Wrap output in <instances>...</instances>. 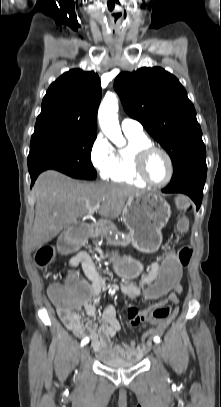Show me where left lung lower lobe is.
<instances>
[{"label": "left lung lower lobe", "instance_id": "0a47b994", "mask_svg": "<svg viewBox=\"0 0 221 407\" xmlns=\"http://www.w3.org/2000/svg\"><path fill=\"white\" fill-rule=\"evenodd\" d=\"M206 159L194 162L172 177L170 184L162 191L164 193H183L188 195L200 208L203 188L206 180Z\"/></svg>", "mask_w": 221, "mask_h": 407}]
</instances>
